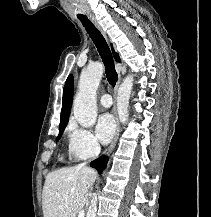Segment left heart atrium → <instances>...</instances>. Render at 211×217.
Wrapping results in <instances>:
<instances>
[{"label": "left heart atrium", "mask_w": 211, "mask_h": 217, "mask_svg": "<svg viewBox=\"0 0 211 217\" xmlns=\"http://www.w3.org/2000/svg\"><path fill=\"white\" fill-rule=\"evenodd\" d=\"M115 133V121L111 114H103L96 124L97 138L104 144L108 143Z\"/></svg>", "instance_id": "39dd6f15"}]
</instances>
